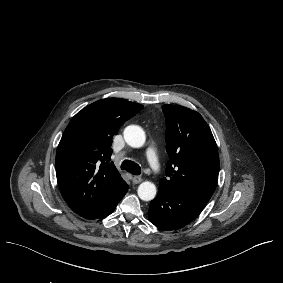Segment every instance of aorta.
<instances>
[{
  "mask_svg": "<svg viewBox=\"0 0 283 283\" xmlns=\"http://www.w3.org/2000/svg\"><path fill=\"white\" fill-rule=\"evenodd\" d=\"M126 143L133 148H140L146 141L144 130L137 125H129L124 130ZM156 186L154 183L145 181L138 187V196L143 201H151L156 196Z\"/></svg>",
  "mask_w": 283,
  "mask_h": 283,
  "instance_id": "762f6f07",
  "label": "aorta"
}]
</instances>
